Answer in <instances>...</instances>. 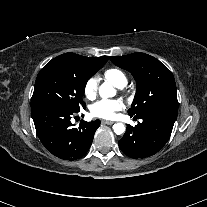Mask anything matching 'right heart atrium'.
<instances>
[{"label": "right heart atrium", "instance_id": "1", "mask_svg": "<svg viewBox=\"0 0 207 207\" xmlns=\"http://www.w3.org/2000/svg\"><path fill=\"white\" fill-rule=\"evenodd\" d=\"M98 88V81L95 77L89 78L83 88L84 94L87 98H93L96 95Z\"/></svg>", "mask_w": 207, "mask_h": 207}]
</instances>
